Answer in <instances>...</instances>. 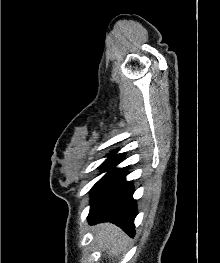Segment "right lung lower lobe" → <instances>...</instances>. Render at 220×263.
<instances>
[{"instance_id": "right-lung-lower-lobe-1", "label": "right lung lower lobe", "mask_w": 220, "mask_h": 263, "mask_svg": "<svg viewBox=\"0 0 220 263\" xmlns=\"http://www.w3.org/2000/svg\"><path fill=\"white\" fill-rule=\"evenodd\" d=\"M123 159V154L114 156L104 167L109 171L91 189L90 224L109 221L134 236L136 203L132 198L133 185L125 180L126 168L114 169Z\"/></svg>"}]
</instances>
